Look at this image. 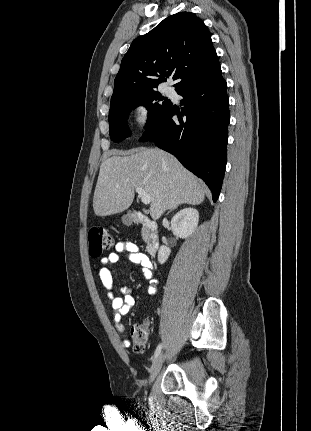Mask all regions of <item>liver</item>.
<instances>
[{
  "instance_id": "obj_1",
  "label": "liver",
  "mask_w": 311,
  "mask_h": 431,
  "mask_svg": "<svg viewBox=\"0 0 311 431\" xmlns=\"http://www.w3.org/2000/svg\"><path fill=\"white\" fill-rule=\"evenodd\" d=\"M135 188H143L149 194L152 219H159L166 210L179 204L198 206L207 192L203 182L168 152L159 148L113 150V156L100 166L93 196L95 216H112L128 210L135 198Z\"/></svg>"
}]
</instances>
